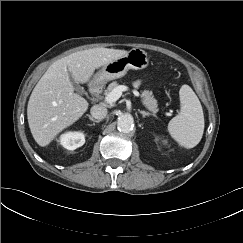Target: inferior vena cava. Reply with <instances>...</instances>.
<instances>
[{
	"label": "inferior vena cava",
	"mask_w": 243,
	"mask_h": 243,
	"mask_svg": "<svg viewBox=\"0 0 243 243\" xmlns=\"http://www.w3.org/2000/svg\"><path fill=\"white\" fill-rule=\"evenodd\" d=\"M90 113L95 119L102 120L107 115V109L102 105H94L91 108Z\"/></svg>",
	"instance_id": "602c4592"
}]
</instances>
